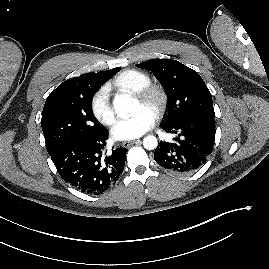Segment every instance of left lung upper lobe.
Masks as SVG:
<instances>
[{
    "label": "left lung upper lobe",
    "instance_id": "obj_1",
    "mask_svg": "<svg viewBox=\"0 0 269 269\" xmlns=\"http://www.w3.org/2000/svg\"><path fill=\"white\" fill-rule=\"evenodd\" d=\"M137 67L153 72L168 97L166 124L195 117L215 118L210 91L193 69L172 59H154Z\"/></svg>",
    "mask_w": 269,
    "mask_h": 269
}]
</instances>
